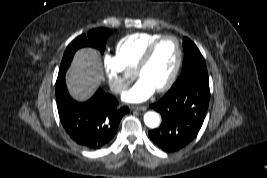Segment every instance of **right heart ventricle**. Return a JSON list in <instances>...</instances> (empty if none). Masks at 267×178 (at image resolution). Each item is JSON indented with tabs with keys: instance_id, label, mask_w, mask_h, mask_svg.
Instances as JSON below:
<instances>
[{
	"instance_id": "right-heart-ventricle-1",
	"label": "right heart ventricle",
	"mask_w": 267,
	"mask_h": 178,
	"mask_svg": "<svg viewBox=\"0 0 267 178\" xmlns=\"http://www.w3.org/2000/svg\"><path fill=\"white\" fill-rule=\"evenodd\" d=\"M161 36L160 33L148 32L127 35L116 44V57L126 69L134 72L145 50Z\"/></svg>"
}]
</instances>
